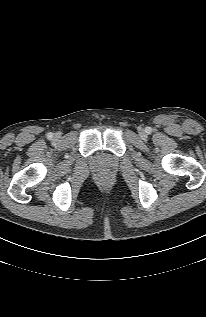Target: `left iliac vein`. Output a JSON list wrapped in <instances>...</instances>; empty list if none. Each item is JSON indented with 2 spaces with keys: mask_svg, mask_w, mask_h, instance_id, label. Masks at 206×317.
<instances>
[{
  "mask_svg": "<svg viewBox=\"0 0 206 317\" xmlns=\"http://www.w3.org/2000/svg\"><path fill=\"white\" fill-rule=\"evenodd\" d=\"M140 135H141L142 137H144V136L146 135L145 131H144V130H141V131H140Z\"/></svg>",
  "mask_w": 206,
  "mask_h": 317,
  "instance_id": "4c4485c4",
  "label": "left iliac vein"
}]
</instances>
